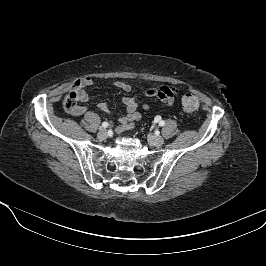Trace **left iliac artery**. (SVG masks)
Segmentation results:
<instances>
[{"instance_id":"left-iliac-artery-1","label":"left iliac artery","mask_w":266,"mask_h":266,"mask_svg":"<svg viewBox=\"0 0 266 266\" xmlns=\"http://www.w3.org/2000/svg\"><path fill=\"white\" fill-rule=\"evenodd\" d=\"M165 124V122L163 121V120H161L160 122H159V126H163Z\"/></svg>"}]
</instances>
